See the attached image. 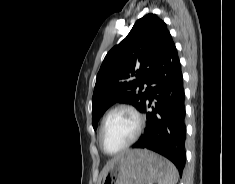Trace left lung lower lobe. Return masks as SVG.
Masks as SVG:
<instances>
[{
  "label": "left lung lower lobe",
  "instance_id": "1",
  "mask_svg": "<svg viewBox=\"0 0 235 184\" xmlns=\"http://www.w3.org/2000/svg\"><path fill=\"white\" fill-rule=\"evenodd\" d=\"M141 111L147 114V127L134 148L152 150L177 167L185 166V110L181 65L177 49L168 35L160 50L149 81Z\"/></svg>",
  "mask_w": 235,
  "mask_h": 184
}]
</instances>
